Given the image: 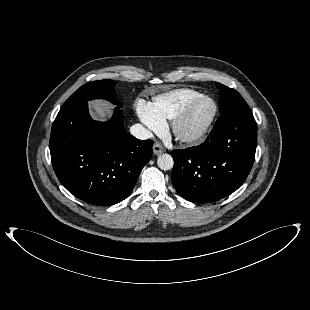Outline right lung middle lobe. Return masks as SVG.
<instances>
[{"label":"right lung middle lobe","instance_id":"right-lung-middle-lobe-1","mask_svg":"<svg viewBox=\"0 0 310 310\" xmlns=\"http://www.w3.org/2000/svg\"><path fill=\"white\" fill-rule=\"evenodd\" d=\"M115 84L116 82L113 80H100L86 83L67 99L62 108L83 101L87 102L88 100L96 98L107 99L110 102L121 106L115 96Z\"/></svg>","mask_w":310,"mask_h":310}]
</instances>
